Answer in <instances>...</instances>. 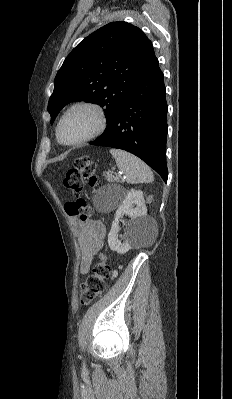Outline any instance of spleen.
Instances as JSON below:
<instances>
[{"label":"spleen","instance_id":"1","mask_svg":"<svg viewBox=\"0 0 232 399\" xmlns=\"http://www.w3.org/2000/svg\"><path fill=\"white\" fill-rule=\"evenodd\" d=\"M120 172H123L127 184H150L154 182L153 172L142 160L124 152V150H110Z\"/></svg>","mask_w":232,"mask_h":399}]
</instances>
